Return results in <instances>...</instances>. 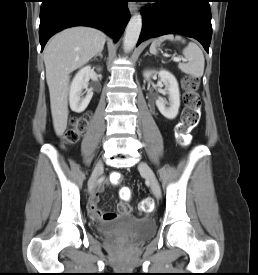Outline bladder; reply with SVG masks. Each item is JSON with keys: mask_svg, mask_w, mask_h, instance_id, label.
Wrapping results in <instances>:
<instances>
[{"mask_svg": "<svg viewBox=\"0 0 258 275\" xmlns=\"http://www.w3.org/2000/svg\"><path fill=\"white\" fill-rule=\"evenodd\" d=\"M97 230L101 235H107L114 230H125L137 239H145L153 235L155 223L151 218L126 214L117 219L102 221L98 224Z\"/></svg>", "mask_w": 258, "mask_h": 275, "instance_id": "1", "label": "bladder"}]
</instances>
